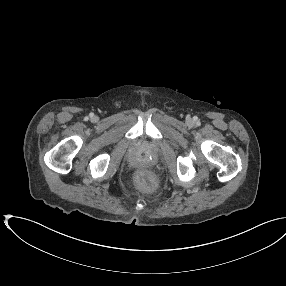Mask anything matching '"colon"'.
<instances>
[{"label":"colon","instance_id":"colon-1","mask_svg":"<svg viewBox=\"0 0 286 286\" xmlns=\"http://www.w3.org/2000/svg\"><path fill=\"white\" fill-rule=\"evenodd\" d=\"M136 182L138 185L145 188V190H151L153 188L152 180L145 171H141L137 174Z\"/></svg>","mask_w":286,"mask_h":286}]
</instances>
